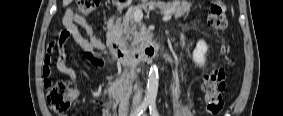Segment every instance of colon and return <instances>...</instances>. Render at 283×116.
<instances>
[{
  "label": "colon",
  "mask_w": 283,
  "mask_h": 116,
  "mask_svg": "<svg viewBox=\"0 0 283 116\" xmlns=\"http://www.w3.org/2000/svg\"><path fill=\"white\" fill-rule=\"evenodd\" d=\"M98 3V0H79L78 12L82 15H89L95 11ZM208 21L216 34L226 29V6L222 0L211 2ZM226 78L224 64L210 67L204 75L202 89L205 93L207 112L210 115H217L223 109L222 93L226 89ZM44 84L47 88L46 99L50 108L56 113L68 111L76 98L74 90L66 82H53L47 76H45Z\"/></svg>",
  "instance_id": "1"
}]
</instances>
